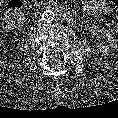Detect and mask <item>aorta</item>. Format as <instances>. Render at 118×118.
Returning a JSON list of instances; mask_svg holds the SVG:
<instances>
[{"label":"aorta","instance_id":"aorta-1","mask_svg":"<svg viewBox=\"0 0 118 118\" xmlns=\"http://www.w3.org/2000/svg\"><path fill=\"white\" fill-rule=\"evenodd\" d=\"M55 18V13L52 10H46L43 12L41 19L45 22V23H50L54 20Z\"/></svg>","mask_w":118,"mask_h":118}]
</instances>
